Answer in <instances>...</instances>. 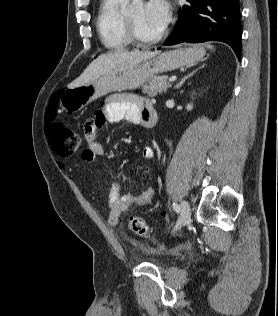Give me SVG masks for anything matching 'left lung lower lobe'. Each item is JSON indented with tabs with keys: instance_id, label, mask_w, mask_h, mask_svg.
Returning <instances> with one entry per match:
<instances>
[{
	"instance_id": "1",
	"label": "left lung lower lobe",
	"mask_w": 278,
	"mask_h": 316,
	"mask_svg": "<svg viewBox=\"0 0 278 316\" xmlns=\"http://www.w3.org/2000/svg\"><path fill=\"white\" fill-rule=\"evenodd\" d=\"M179 9L178 24L164 45L222 41L240 59L241 10L238 0H187ZM160 49V48H158Z\"/></svg>"
}]
</instances>
